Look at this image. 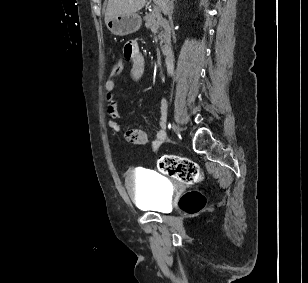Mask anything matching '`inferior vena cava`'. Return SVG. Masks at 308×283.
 <instances>
[{"label":"inferior vena cava","instance_id":"obj_1","mask_svg":"<svg viewBox=\"0 0 308 283\" xmlns=\"http://www.w3.org/2000/svg\"><path fill=\"white\" fill-rule=\"evenodd\" d=\"M163 11L165 14L168 15V35H175V30H174V20L172 18V13H173V9L171 8V5L169 3V1L167 0L166 3H164L163 5ZM172 37V36H171ZM173 43V42H172Z\"/></svg>","mask_w":308,"mask_h":283}]
</instances>
